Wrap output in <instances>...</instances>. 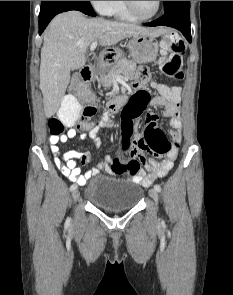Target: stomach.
Wrapping results in <instances>:
<instances>
[{"mask_svg": "<svg viewBox=\"0 0 233 295\" xmlns=\"http://www.w3.org/2000/svg\"><path fill=\"white\" fill-rule=\"evenodd\" d=\"M128 48L132 59L138 64L154 62L158 56L159 45L155 38L150 35H134L129 43ZM120 57L116 55V59Z\"/></svg>", "mask_w": 233, "mask_h": 295, "instance_id": "stomach-1", "label": "stomach"}]
</instances>
